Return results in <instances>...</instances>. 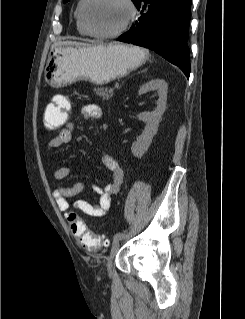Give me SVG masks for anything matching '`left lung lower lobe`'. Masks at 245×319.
Returning <instances> with one entry per match:
<instances>
[{
    "mask_svg": "<svg viewBox=\"0 0 245 319\" xmlns=\"http://www.w3.org/2000/svg\"><path fill=\"white\" fill-rule=\"evenodd\" d=\"M192 0H137L141 16L129 31L117 38L151 49L184 74H190L187 45Z\"/></svg>",
    "mask_w": 245,
    "mask_h": 319,
    "instance_id": "1",
    "label": "left lung lower lobe"
}]
</instances>
